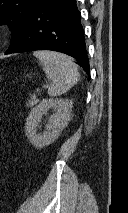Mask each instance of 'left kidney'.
<instances>
[{
    "label": "left kidney",
    "instance_id": "obj_1",
    "mask_svg": "<svg viewBox=\"0 0 128 213\" xmlns=\"http://www.w3.org/2000/svg\"><path fill=\"white\" fill-rule=\"evenodd\" d=\"M72 107V100L43 99L31 110L26 119L25 129L29 142L36 148H43L58 139L60 133L68 124ZM49 109H53L55 113L51 115L46 125V131L37 133V126L41 121V117Z\"/></svg>",
    "mask_w": 128,
    "mask_h": 213
}]
</instances>
